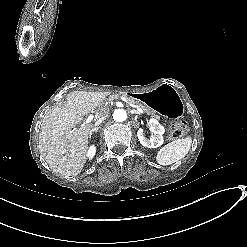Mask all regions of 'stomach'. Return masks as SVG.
<instances>
[{"label": "stomach", "instance_id": "stomach-1", "mask_svg": "<svg viewBox=\"0 0 247 247\" xmlns=\"http://www.w3.org/2000/svg\"><path fill=\"white\" fill-rule=\"evenodd\" d=\"M131 95L164 117L176 119L183 114V101L175 89L167 84L159 85L150 91Z\"/></svg>", "mask_w": 247, "mask_h": 247}]
</instances>
